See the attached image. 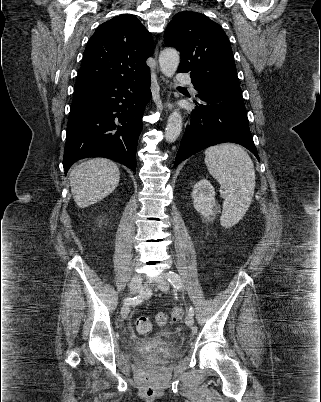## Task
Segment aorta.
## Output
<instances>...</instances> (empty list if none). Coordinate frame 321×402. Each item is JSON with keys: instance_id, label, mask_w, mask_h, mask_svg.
I'll list each match as a JSON object with an SVG mask.
<instances>
[{"instance_id": "1", "label": "aorta", "mask_w": 321, "mask_h": 402, "mask_svg": "<svg viewBox=\"0 0 321 402\" xmlns=\"http://www.w3.org/2000/svg\"><path fill=\"white\" fill-rule=\"evenodd\" d=\"M180 62L179 52L173 48H166L159 55V65L161 72L171 78L177 71ZM182 131V116L179 109H175L168 118L165 139L167 142H174Z\"/></svg>"}]
</instances>
